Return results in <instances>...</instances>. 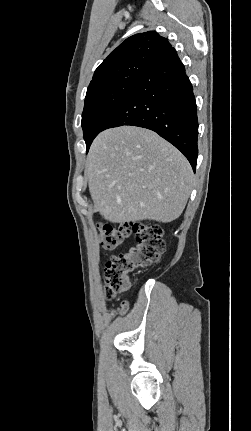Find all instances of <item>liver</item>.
I'll return each instance as SVG.
<instances>
[{
	"instance_id": "6515ba94",
	"label": "liver",
	"mask_w": 251,
	"mask_h": 431,
	"mask_svg": "<svg viewBox=\"0 0 251 431\" xmlns=\"http://www.w3.org/2000/svg\"><path fill=\"white\" fill-rule=\"evenodd\" d=\"M85 177L94 211L112 223H168L183 212L194 174L187 159L155 132L122 126L93 141Z\"/></svg>"
}]
</instances>
